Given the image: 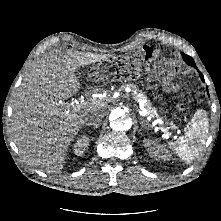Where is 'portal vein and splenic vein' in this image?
Masks as SVG:
<instances>
[{
    "label": "portal vein and splenic vein",
    "instance_id": "18ae733b",
    "mask_svg": "<svg viewBox=\"0 0 221 221\" xmlns=\"http://www.w3.org/2000/svg\"><path fill=\"white\" fill-rule=\"evenodd\" d=\"M86 103H87V102H86L85 100H80V101L77 100V101L74 102V104H75L76 106H78V107L83 106V105H86ZM140 105L142 106L143 103L141 102ZM141 114L144 115V112H141ZM157 122L160 123V124L163 123V122H162L161 120H159V119H157ZM172 127H173L174 129H178L175 125H173ZM162 131H163L164 133H166L168 136H172V133L169 131V129L163 127V128H162Z\"/></svg>",
    "mask_w": 221,
    "mask_h": 221
}]
</instances>
